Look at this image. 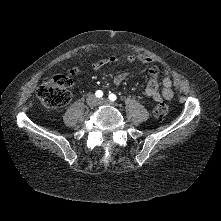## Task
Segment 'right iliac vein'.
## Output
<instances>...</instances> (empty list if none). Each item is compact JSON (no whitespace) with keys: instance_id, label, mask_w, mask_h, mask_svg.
Listing matches in <instances>:
<instances>
[{"instance_id":"1","label":"right iliac vein","mask_w":221,"mask_h":221,"mask_svg":"<svg viewBox=\"0 0 221 221\" xmlns=\"http://www.w3.org/2000/svg\"><path fill=\"white\" fill-rule=\"evenodd\" d=\"M87 102L90 106H95L97 104V99L93 95H90Z\"/></svg>"}]
</instances>
